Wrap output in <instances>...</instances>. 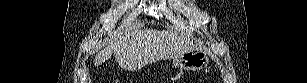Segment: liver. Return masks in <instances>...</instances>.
Masks as SVG:
<instances>
[{"label": "liver", "mask_w": 307, "mask_h": 83, "mask_svg": "<svg viewBox=\"0 0 307 83\" xmlns=\"http://www.w3.org/2000/svg\"><path fill=\"white\" fill-rule=\"evenodd\" d=\"M183 38L169 31L148 29L129 30L111 40L95 57L98 66L114 54L119 65L126 69L141 68L158 60L177 58L185 51Z\"/></svg>", "instance_id": "obj_1"}]
</instances>
